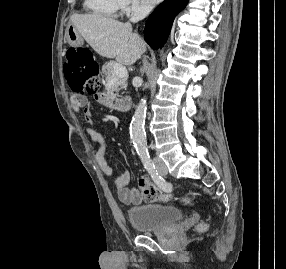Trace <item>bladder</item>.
<instances>
[{
    "mask_svg": "<svg viewBox=\"0 0 286 269\" xmlns=\"http://www.w3.org/2000/svg\"><path fill=\"white\" fill-rule=\"evenodd\" d=\"M128 220L134 229L142 233H153L180 222L182 212L176 206L148 203L130 208Z\"/></svg>",
    "mask_w": 286,
    "mask_h": 269,
    "instance_id": "1",
    "label": "bladder"
}]
</instances>
